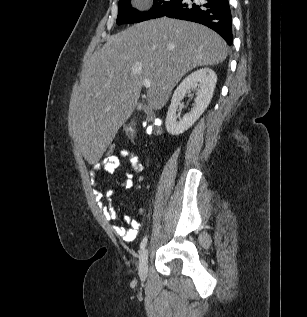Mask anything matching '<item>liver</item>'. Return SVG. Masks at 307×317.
I'll return each instance as SVG.
<instances>
[{"instance_id": "liver-1", "label": "liver", "mask_w": 307, "mask_h": 317, "mask_svg": "<svg viewBox=\"0 0 307 317\" xmlns=\"http://www.w3.org/2000/svg\"><path fill=\"white\" fill-rule=\"evenodd\" d=\"M227 55V43L216 32L167 17L107 37L70 101L73 135L86 160L101 158L135 110L145 79L151 81L148 106L160 109L187 72L219 64Z\"/></svg>"}]
</instances>
